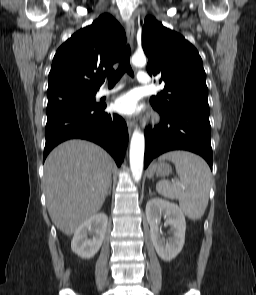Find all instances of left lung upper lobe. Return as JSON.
Listing matches in <instances>:
<instances>
[{"label": "left lung upper lobe", "mask_w": 256, "mask_h": 295, "mask_svg": "<svg viewBox=\"0 0 256 295\" xmlns=\"http://www.w3.org/2000/svg\"><path fill=\"white\" fill-rule=\"evenodd\" d=\"M141 34L149 58L147 71L165 82L163 91L150 98L153 108L164 115L178 110L209 114L206 74L196 48L151 16L146 17Z\"/></svg>", "instance_id": "1"}]
</instances>
